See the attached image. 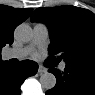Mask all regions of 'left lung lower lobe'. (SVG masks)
Here are the masks:
<instances>
[{"mask_svg": "<svg viewBox=\"0 0 95 95\" xmlns=\"http://www.w3.org/2000/svg\"><path fill=\"white\" fill-rule=\"evenodd\" d=\"M57 82L47 95H95V69L66 64L64 72L50 68Z\"/></svg>", "mask_w": 95, "mask_h": 95, "instance_id": "0a47b994", "label": "left lung lower lobe"}]
</instances>
